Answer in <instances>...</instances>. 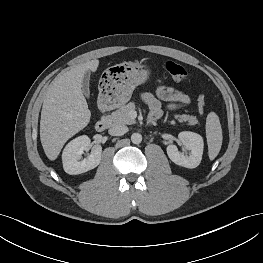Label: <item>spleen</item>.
Instances as JSON below:
<instances>
[{"label": "spleen", "instance_id": "1", "mask_svg": "<svg viewBox=\"0 0 263 263\" xmlns=\"http://www.w3.org/2000/svg\"><path fill=\"white\" fill-rule=\"evenodd\" d=\"M206 138L209 158L210 160H214L220 152L223 139L220 120L214 112H210L207 115Z\"/></svg>", "mask_w": 263, "mask_h": 263}]
</instances>
